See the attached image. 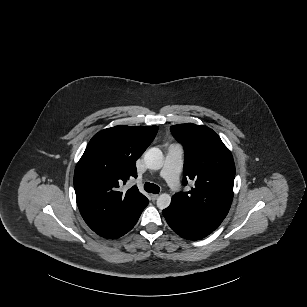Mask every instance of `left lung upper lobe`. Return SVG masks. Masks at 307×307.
<instances>
[{
  "label": "left lung upper lobe",
  "instance_id": "left-lung-upper-lobe-1",
  "mask_svg": "<svg viewBox=\"0 0 307 307\" xmlns=\"http://www.w3.org/2000/svg\"><path fill=\"white\" fill-rule=\"evenodd\" d=\"M185 150L184 180L195 181L188 192L172 200L195 220L216 229L226 217L233 199L235 165L231 152L210 128L192 123L170 128Z\"/></svg>",
  "mask_w": 307,
  "mask_h": 307
}]
</instances>
